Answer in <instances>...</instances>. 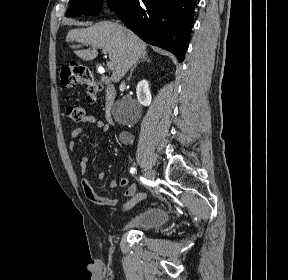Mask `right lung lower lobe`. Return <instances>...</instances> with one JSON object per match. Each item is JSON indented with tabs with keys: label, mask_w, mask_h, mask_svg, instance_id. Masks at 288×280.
I'll list each match as a JSON object with an SVG mask.
<instances>
[{
	"label": "right lung lower lobe",
	"mask_w": 288,
	"mask_h": 280,
	"mask_svg": "<svg viewBox=\"0 0 288 280\" xmlns=\"http://www.w3.org/2000/svg\"><path fill=\"white\" fill-rule=\"evenodd\" d=\"M197 0H125L112 11L147 43L172 52L179 62L189 44Z\"/></svg>",
	"instance_id": "98d812e1"
}]
</instances>
